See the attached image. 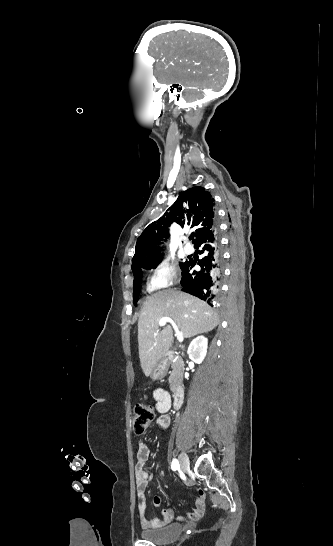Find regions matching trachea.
I'll list each match as a JSON object with an SVG mask.
<instances>
[{"label": "trachea", "instance_id": "obj_1", "mask_svg": "<svg viewBox=\"0 0 333 546\" xmlns=\"http://www.w3.org/2000/svg\"><path fill=\"white\" fill-rule=\"evenodd\" d=\"M193 237H194V235H190V236H189V239H190V240H192V239H193Z\"/></svg>", "mask_w": 333, "mask_h": 546}]
</instances>
